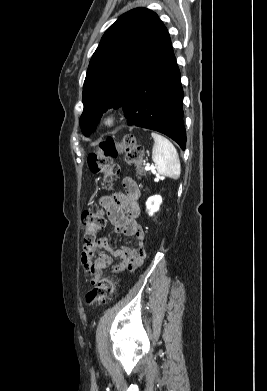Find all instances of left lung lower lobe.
<instances>
[{
	"instance_id": "1",
	"label": "left lung lower lobe",
	"mask_w": 267,
	"mask_h": 391,
	"mask_svg": "<svg viewBox=\"0 0 267 391\" xmlns=\"http://www.w3.org/2000/svg\"><path fill=\"white\" fill-rule=\"evenodd\" d=\"M183 96L180 72L170 45L148 68L123 103L127 124L161 132L185 150Z\"/></svg>"
}]
</instances>
